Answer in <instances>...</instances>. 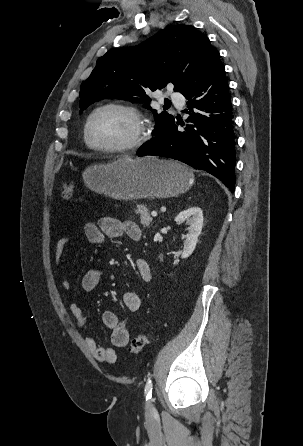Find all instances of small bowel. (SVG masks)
I'll list each match as a JSON object with an SVG mask.
<instances>
[{
  "label": "small bowel",
  "instance_id": "obj_1",
  "mask_svg": "<svg viewBox=\"0 0 303 446\" xmlns=\"http://www.w3.org/2000/svg\"><path fill=\"white\" fill-rule=\"evenodd\" d=\"M85 237L89 243L99 245L104 239H118L121 237H128L132 240H139L141 237V230L139 226L132 221H122L114 217H103L96 223H87L84 227ZM71 243V238L62 237L55 245V259L57 262L61 261L65 249ZM136 270L139 277L144 282L151 280V269L145 259L139 258L135 263ZM100 282V272L96 268L88 269L81 279V286L84 291L91 292L95 290ZM63 286L69 289L71 284L64 280ZM122 301L125 308L129 312H137L141 308L140 296L135 291H127L122 296ZM71 313L80 328L86 325V315L82 308L73 303L70 306ZM102 321L104 326L111 331V343L114 347H125L129 341L130 334L128 326L122 322L113 311H105L102 314ZM87 348L92 355L101 362L115 363L117 354L114 348L100 346L93 337L85 339Z\"/></svg>",
  "mask_w": 303,
  "mask_h": 446
}]
</instances>
